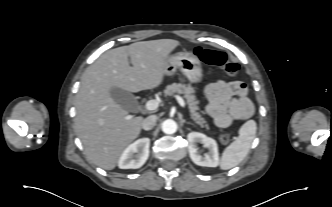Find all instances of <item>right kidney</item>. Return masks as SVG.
Masks as SVG:
<instances>
[{"instance_id": "obj_1", "label": "right kidney", "mask_w": 332, "mask_h": 207, "mask_svg": "<svg viewBox=\"0 0 332 207\" xmlns=\"http://www.w3.org/2000/svg\"><path fill=\"white\" fill-rule=\"evenodd\" d=\"M149 146V138H141L130 144L119 159V168L137 169L143 166L149 156Z\"/></svg>"}]
</instances>
